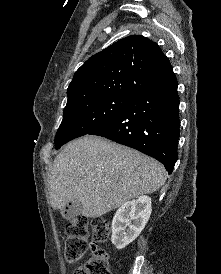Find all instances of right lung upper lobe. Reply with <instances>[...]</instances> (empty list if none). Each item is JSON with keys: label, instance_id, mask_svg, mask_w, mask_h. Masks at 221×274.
Listing matches in <instances>:
<instances>
[{"label": "right lung upper lobe", "instance_id": "1", "mask_svg": "<svg viewBox=\"0 0 221 274\" xmlns=\"http://www.w3.org/2000/svg\"><path fill=\"white\" fill-rule=\"evenodd\" d=\"M172 71L159 46L141 35L119 40L89 58L67 89L68 101L104 95L134 97Z\"/></svg>", "mask_w": 221, "mask_h": 274}]
</instances>
